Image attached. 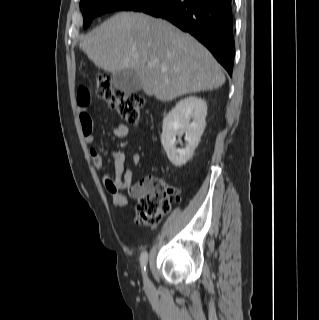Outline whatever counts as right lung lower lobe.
<instances>
[{
	"instance_id": "right-lung-lower-lobe-1",
	"label": "right lung lower lobe",
	"mask_w": 319,
	"mask_h": 320,
	"mask_svg": "<svg viewBox=\"0 0 319 320\" xmlns=\"http://www.w3.org/2000/svg\"><path fill=\"white\" fill-rule=\"evenodd\" d=\"M136 11L166 19L189 32L232 75L234 38L231 0H155Z\"/></svg>"
}]
</instances>
